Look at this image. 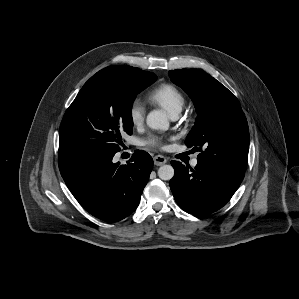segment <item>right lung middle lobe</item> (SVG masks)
<instances>
[{
    "label": "right lung middle lobe",
    "instance_id": "right-lung-middle-lobe-1",
    "mask_svg": "<svg viewBox=\"0 0 299 299\" xmlns=\"http://www.w3.org/2000/svg\"><path fill=\"white\" fill-rule=\"evenodd\" d=\"M125 66L106 67L93 75L66 110L59 147L104 154L120 151L121 134H132L131 109L136 95L156 80Z\"/></svg>",
    "mask_w": 299,
    "mask_h": 299
}]
</instances>
